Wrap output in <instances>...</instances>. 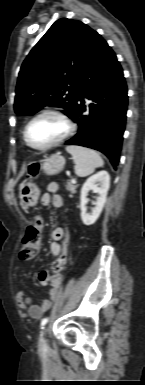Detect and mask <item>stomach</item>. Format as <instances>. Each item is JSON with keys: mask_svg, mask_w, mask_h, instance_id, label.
I'll use <instances>...</instances> for the list:
<instances>
[{"mask_svg": "<svg viewBox=\"0 0 145 385\" xmlns=\"http://www.w3.org/2000/svg\"><path fill=\"white\" fill-rule=\"evenodd\" d=\"M66 160L61 153L51 155L43 161L41 169L47 175H55L61 172L65 166ZM40 196V189L33 182L23 181L19 185L18 198L20 204L25 207L35 206Z\"/></svg>", "mask_w": 145, "mask_h": 385, "instance_id": "obj_1", "label": "stomach"}]
</instances>
